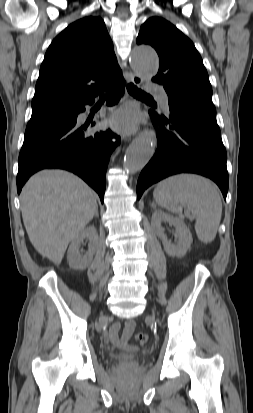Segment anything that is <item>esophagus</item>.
I'll return each instance as SVG.
<instances>
[{
    "instance_id": "esophagus-1",
    "label": "esophagus",
    "mask_w": 253,
    "mask_h": 413,
    "mask_svg": "<svg viewBox=\"0 0 253 413\" xmlns=\"http://www.w3.org/2000/svg\"><path fill=\"white\" fill-rule=\"evenodd\" d=\"M130 78H131V81H132L134 84H136V85H141L142 82H143V80L141 79V77L138 76V75H136V74H134V73H131V74H130ZM147 133H149V130H147V129H144L143 131H141V134H147Z\"/></svg>"
}]
</instances>
